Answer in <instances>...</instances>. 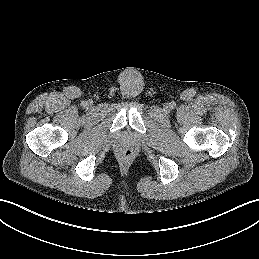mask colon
Masks as SVG:
<instances>
[{"label":"colon","instance_id":"5ec220e1","mask_svg":"<svg viewBox=\"0 0 259 259\" xmlns=\"http://www.w3.org/2000/svg\"><path fill=\"white\" fill-rule=\"evenodd\" d=\"M131 154H132V151H131L130 149H125V150H123V152H122V155H123V157H125V158H129V157L131 156Z\"/></svg>","mask_w":259,"mask_h":259}]
</instances>
